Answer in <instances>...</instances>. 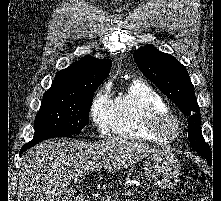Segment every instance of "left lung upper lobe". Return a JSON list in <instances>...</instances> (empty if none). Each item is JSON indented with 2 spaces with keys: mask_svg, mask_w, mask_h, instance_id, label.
Returning a JSON list of instances; mask_svg holds the SVG:
<instances>
[{
  "mask_svg": "<svg viewBox=\"0 0 221 201\" xmlns=\"http://www.w3.org/2000/svg\"><path fill=\"white\" fill-rule=\"evenodd\" d=\"M134 60L144 76L188 116L190 146L204 157L212 158L211 149L201 133L200 108L185 66L170 54L158 51L153 45L136 50Z\"/></svg>",
  "mask_w": 221,
  "mask_h": 201,
  "instance_id": "5c2ea615",
  "label": "left lung upper lobe"
}]
</instances>
